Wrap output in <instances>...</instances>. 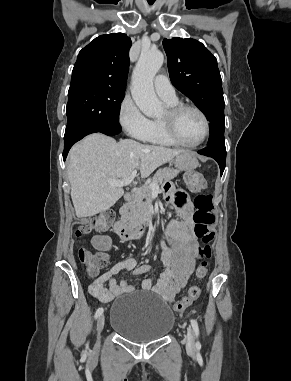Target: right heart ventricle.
<instances>
[{"label":"right heart ventricle","mask_w":291,"mask_h":381,"mask_svg":"<svg viewBox=\"0 0 291 381\" xmlns=\"http://www.w3.org/2000/svg\"><path fill=\"white\" fill-rule=\"evenodd\" d=\"M166 101V100H165ZM166 103L169 106H173L178 104V100H172V101H166ZM143 141L157 144V145H164V146H174L176 145L174 142H172L163 132L162 127L160 125L159 119H152L150 120V127L149 130L144 137Z\"/></svg>","instance_id":"e07e8e85"}]
</instances>
